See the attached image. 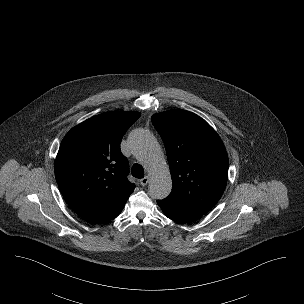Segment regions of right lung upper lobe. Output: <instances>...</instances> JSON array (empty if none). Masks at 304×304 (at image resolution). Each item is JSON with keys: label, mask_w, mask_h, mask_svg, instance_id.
<instances>
[{"label": "right lung upper lobe", "mask_w": 304, "mask_h": 304, "mask_svg": "<svg viewBox=\"0 0 304 304\" xmlns=\"http://www.w3.org/2000/svg\"><path fill=\"white\" fill-rule=\"evenodd\" d=\"M139 112H106L72 128L55 160L60 191L80 217L98 224L114 219L135 186L127 179L129 164L120 143Z\"/></svg>", "instance_id": "right-lung-upper-lobe-1"}]
</instances>
